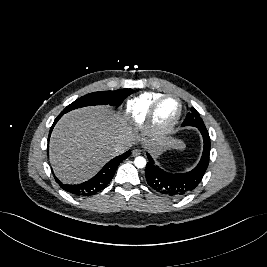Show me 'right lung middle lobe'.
<instances>
[{"label": "right lung middle lobe", "instance_id": "obj_1", "mask_svg": "<svg viewBox=\"0 0 267 267\" xmlns=\"http://www.w3.org/2000/svg\"><path fill=\"white\" fill-rule=\"evenodd\" d=\"M132 93V89H119L115 91H99L87 94L78 98L73 103L68 105L60 114H63L85 106L91 105H112L119 106L123 100Z\"/></svg>", "mask_w": 267, "mask_h": 267}]
</instances>
